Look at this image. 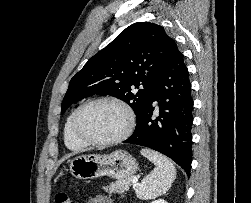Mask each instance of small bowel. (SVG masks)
<instances>
[{
	"instance_id": "c3829d8e",
	"label": "small bowel",
	"mask_w": 251,
	"mask_h": 203,
	"mask_svg": "<svg viewBox=\"0 0 251 203\" xmlns=\"http://www.w3.org/2000/svg\"><path fill=\"white\" fill-rule=\"evenodd\" d=\"M86 203H113V201L108 196L97 195L89 198Z\"/></svg>"
}]
</instances>
